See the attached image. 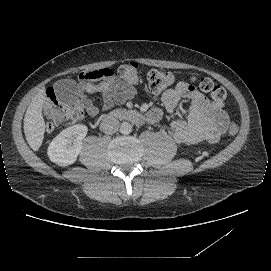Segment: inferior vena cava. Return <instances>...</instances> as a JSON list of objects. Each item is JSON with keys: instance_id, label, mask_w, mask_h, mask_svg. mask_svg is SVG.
Returning <instances> with one entry per match:
<instances>
[{"instance_id": "inferior-vena-cava-1", "label": "inferior vena cava", "mask_w": 271, "mask_h": 271, "mask_svg": "<svg viewBox=\"0 0 271 271\" xmlns=\"http://www.w3.org/2000/svg\"><path fill=\"white\" fill-rule=\"evenodd\" d=\"M101 126L105 134H113L118 131L120 122L112 115H107L102 119Z\"/></svg>"}]
</instances>
